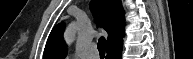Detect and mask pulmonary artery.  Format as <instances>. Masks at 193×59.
Listing matches in <instances>:
<instances>
[{
  "label": "pulmonary artery",
  "instance_id": "obj_1",
  "mask_svg": "<svg viewBox=\"0 0 193 59\" xmlns=\"http://www.w3.org/2000/svg\"><path fill=\"white\" fill-rule=\"evenodd\" d=\"M98 57L96 51L90 47L89 50L86 53V58L87 59H96Z\"/></svg>",
  "mask_w": 193,
  "mask_h": 59
}]
</instances>
